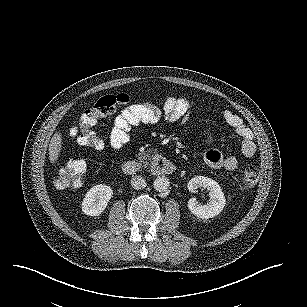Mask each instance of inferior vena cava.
<instances>
[{
    "label": "inferior vena cava",
    "instance_id": "602c4592",
    "mask_svg": "<svg viewBox=\"0 0 307 307\" xmlns=\"http://www.w3.org/2000/svg\"><path fill=\"white\" fill-rule=\"evenodd\" d=\"M131 186L135 190H141L147 186V183H146V180L142 176H134L131 179Z\"/></svg>",
    "mask_w": 307,
    "mask_h": 307
}]
</instances>
